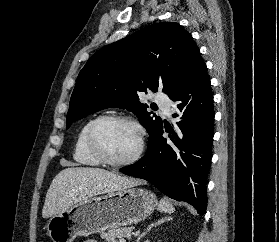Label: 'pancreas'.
<instances>
[{"instance_id":"cf45deb5","label":"pancreas","mask_w":279,"mask_h":242,"mask_svg":"<svg viewBox=\"0 0 279 242\" xmlns=\"http://www.w3.org/2000/svg\"><path fill=\"white\" fill-rule=\"evenodd\" d=\"M132 227H117L112 228L106 233L101 234V238L106 242H119L118 239L130 237L132 234Z\"/></svg>"}]
</instances>
